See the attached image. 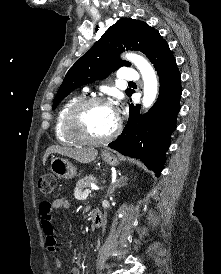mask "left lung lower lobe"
Instances as JSON below:
<instances>
[{"instance_id":"obj_1","label":"left lung lower lobe","mask_w":221,"mask_h":274,"mask_svg":"<svg viewBox=\"0 0 221 274\" xmlns=\"http://www.w3.org/2000/svg\"><path fill=\"white\" fill-rule=\"evenodd\" d=\"M159 76L160 89L156 103L144 115L140 105H130L128 122L122 134L109 147L123 155L141 159L158 174L163 169L171 133L176 129L180 109L181 76L167 43L149 59Z\"/></svg>"}]
</instances>
